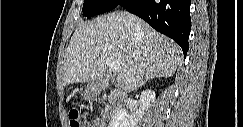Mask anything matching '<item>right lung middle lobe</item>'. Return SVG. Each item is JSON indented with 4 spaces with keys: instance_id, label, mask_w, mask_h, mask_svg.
I'll use <instances>...</instances> for the list:
<instances>
[{
    "instance_id": "right-lung-middle-lobe-1",
    "label": "right lung middle lobe",
    "mask_w": 243,
    "mask_h": 127,
    "mask_svg": "<svg viewBox=\"0 0 243 127\" xmlns=\"http://www.w3.org/2000/svg\"><path fill=\"white\" fill-rule=\"evenodd\" d=\"M120 0H84L83 16L87 18L108 12L119 4Z\"/></svg>"
}]
</instances>
